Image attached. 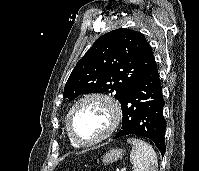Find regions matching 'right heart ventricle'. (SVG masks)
Returning a JSON list of instances; mask_svg holds the SVG:
<instances>
[{
    "mask_svg": "<svg viewBox=\"0 0 199 171\" xmlns=\"http://www.w3.org/2000/svg\"><path fill=\"white\" fill-rule=\"evenodd\" d=\"M69 140H70V142H71V144H72L73 146L78 147V145H77L75 142H73V141L71 140L70 137H69Z\"/></svg>",
    "mask_w": 199,
    "mask_h": 171,
    "instance_id": "obj_1",
    "label": "right heart ventricle"
}]
</instances>
